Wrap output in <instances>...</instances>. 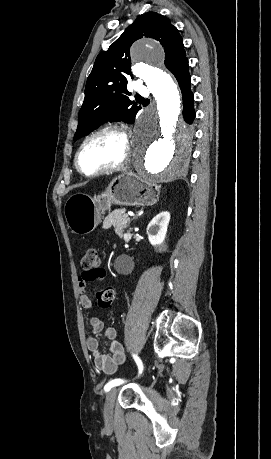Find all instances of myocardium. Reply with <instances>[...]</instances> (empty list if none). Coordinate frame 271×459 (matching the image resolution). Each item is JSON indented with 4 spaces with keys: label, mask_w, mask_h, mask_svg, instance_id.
<instances>
[{
    "label": "myocardium",
    "mask_w": 271,
    "mask_h": 459,
    "mask_svg": "<svg viewBox=\"0 0 271 459\" xmlns=\"http://www.w3.org/2000/svg\"><path fill=\"white\" fill-rule=\"evenodd\" d=\"M104 132H113V133L119 135L126 143V150H125L123 156L117 162L109 164V165H105L103 167H100V168L92 171V172H86L81 168L80 162H79L81 151H82L84 145L86 144V142L89 139H91L92 137H94V136H96L98 134L104 133ZM131 153H132V144H131L129 135H128L125 127L120 125V124H118V123H108V124H105V125L97 128V129L93 130L92 132H90L89 134H87L83 138V140L81 141V143L79 144V146H78V148H77V150L75 152L74 165H75L76 170L81 175H83L85 177H88V178H91V177L98 176L100 174H104V173L111 172V171H116V170H119V169L123 168L124 166H126L128 164L130 156H131Z\"/></svg>",
    "instance_id": "myocardium-1"
}]
</instances>
